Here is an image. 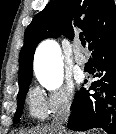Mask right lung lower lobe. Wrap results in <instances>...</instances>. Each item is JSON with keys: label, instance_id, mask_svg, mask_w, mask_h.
I'll return each mask as SVG.
<instances>
[{"label": "right lung lower lobe", "instance_id": "1", "mask_svg": "<svg viewBox=\"0 0 116 134\" xmlns=\"http://www.w3.org/2000/svg\"><path fill=\"white\" fill-rule=\"evenodd\" d=\"M92 57L98 72L94 77L99 79L88 90L81 87L76 92L68 128L86 131L100 127L116 134V35L95 47Z\"/></svg>", "mask_w": 116, "mask_h": 134}]
</instances>
